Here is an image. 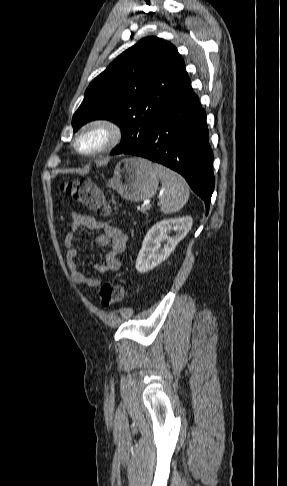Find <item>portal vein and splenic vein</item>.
<instances>
[{"label":"portal vein and splenic vein","mask_w":287,"mask_h":486,"mask_svg":"<svg viewBox=\"0 0 287 486\" xmlns=\"http://www.w3.org/2000/svg\"><path fill=\"white\" fill-rule=\"evenodd\" d=\"M150 207H151V205H150V202H149V201H145V202L142 204V208L149 209Z\"/></svg>","instance_id":"portal-vein-and-splenic-vein-1"}]
</instances>
